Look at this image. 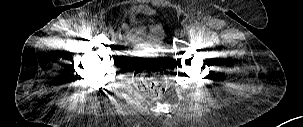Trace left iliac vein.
<instances>
[{"label": "left iliac vein", "mask_w": 303, "mask_h": 127, "mask_svg": "<svg viewBox=\"0 0 303 127\" xmlns=\"http://www.w3.org/2000/svg\"><path fill=\"white\" fill-rule=\"evenodd\" d=\"M181 35H182V36H185V35H186V31H185V30L182 31Z\"/></svg>", "instance_id": "obj_1"}]
</instances>
